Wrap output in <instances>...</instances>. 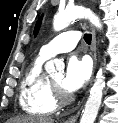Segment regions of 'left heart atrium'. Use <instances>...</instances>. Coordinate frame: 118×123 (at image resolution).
<instances>
[{"instance_id":"obj_1","label":"left heart atrium","mask_w":118,"mask_h":123,"mask_svg":"<svg viewBox=\"0 0 118 123\" xmlns=\"http://www.w3.org/2000/svg\"><path fill=\"white\" fill-rule=\"evenodd\" d=\"M91 66L87 58L71 56L68 59L62 88L67 92L79 90L89 79Z\"/></svg>"}]
</instances>
